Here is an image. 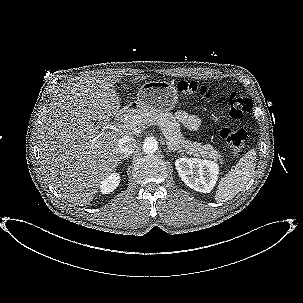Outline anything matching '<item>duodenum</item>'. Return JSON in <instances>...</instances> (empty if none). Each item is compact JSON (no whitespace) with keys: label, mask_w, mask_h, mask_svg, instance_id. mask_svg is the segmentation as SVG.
<instances>
[{"label":"duodenum","mask_w":303,"mask_h":303,"mask_svg":"<svg viewBox=\"0 0 303 303\" xmlns=\"http://www.w3.org/2000/svg\"><path fill=\"white\" fill-rule=\"evenodd\" d=\"M132 111H133L132 108H125V109H122L121 111H119V112L116 114L115 118H116L117 121L121 122V121H123V120L126 118V116H127L129 113H131Z\"/></svg>","instance_id":"obj_1"}]
</instances>
